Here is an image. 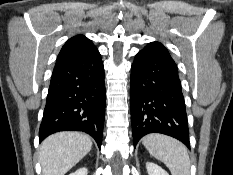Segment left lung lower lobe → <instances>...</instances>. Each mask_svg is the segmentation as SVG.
<instances>
[{
    "instance_id": "1",
    "label": "left lung lower lobe",
    "mask_w": 233,
    "mask_h": 175,
    "mask_svg": "<svg viewBox=\"0 0 233 175\" xmlns=\"http://www.w3.org/2000/svg\"><path fill=\"white\" fill-rule=\"evenodd\" d=\"M130 106L134 147L146 134L157 132L190 148L181 82L167 51L148 44L136 54L131 67Z\"/></svg>"
}]
</instances>
